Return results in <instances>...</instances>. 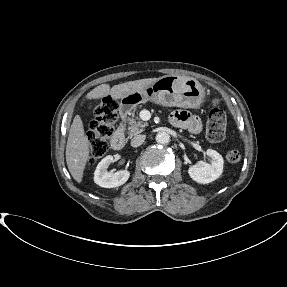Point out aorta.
<instances>
[{"label":"aorta","mask_w":287,"mask_h":287,"mask_svg":"<svg viewBox=\"0 0 287 287\" xmlns=\"http://www.w3.org/2000/svg\"><path fill=\"white\" fill-rule=\"evenodd\" d=\"M156 142L162 145H166L170 142V135L165 132V131H161L159 133H157L156 135Z\"/></svg>","instance_id":"aorta-1"}]
</instances>
